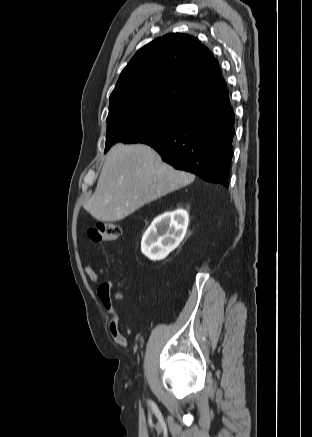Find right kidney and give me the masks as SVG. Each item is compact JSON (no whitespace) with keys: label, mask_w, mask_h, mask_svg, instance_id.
Masks as SVG:
<instances>
[{"label":"right kidney","mask_w":312,"mask_h":437,"mask_svg":"<svg viewBox=\"0 0 312 437\" xmlns=\"http://www.w3.org/2000/svg\"><path fill=\"white\" fill-rule=\"evenodd\" d=\"M188 223L189 215L183 209L157 217L142 238V253L153 261L164 259L183 241Z\"/></svg>","instance_id":"1"}]
</instances>
